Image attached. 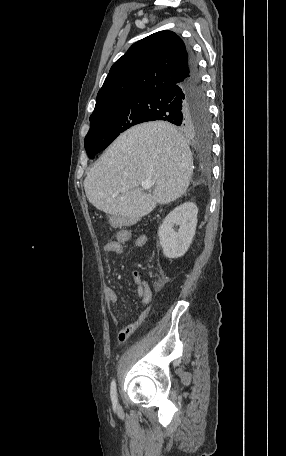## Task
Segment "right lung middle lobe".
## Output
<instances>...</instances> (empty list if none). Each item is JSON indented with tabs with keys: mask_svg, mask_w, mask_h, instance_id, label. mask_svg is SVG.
I'll return each mask as SVG.
<instances>
[{
	"mask_svg": "<svg viewBox=\"0 0 286 456\" xmlns=\"http://www.w3.org/2000/svg\"><path fill=\"white\" fill-rule=\"evenodd\" d=\"M140 96H132L114 101L93 112L90 116V130L85 137V149L90 159L133 125L144 121L145 109L140 103ZM205 139L210 136L209 114L202 122L191 127Z\"/></svg>",
	"mask_w": 286,
	"mask_h": 456,
	"instance_id": "right-lung-middle-lobe-1",
	"label": "right lung middle lobe"
}]
</instances>
